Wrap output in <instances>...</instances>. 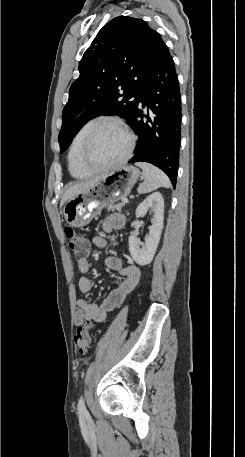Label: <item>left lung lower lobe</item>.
<instances>
[{"label":"left lung lower lobe","instance_id":"left-lung-lower-lobe-1","mask_svg":"<svg viewBox=\"0 0 245 457\" xmlns=\"http://www.w3.org/2000/svg\"><path fill=\"white\" fill-rule=\"evenodd\" d=\"M139 94V106L130 121L138 135L137 151L129 163L142 161L159 167L175 187L181 143V95L174 61L162 39L154 49ZM145 105L150 108V115L144 114Z\"/></svg>","mask_w":245,"mask_h":457}]
</instances>
